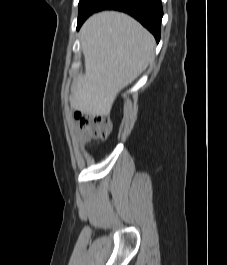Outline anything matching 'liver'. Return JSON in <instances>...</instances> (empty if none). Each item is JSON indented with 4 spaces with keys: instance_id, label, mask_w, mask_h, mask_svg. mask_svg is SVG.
Here are the masks:
<instances>
[{
    "instance_id": "liver-1",
    "label": "liver",
    "mask_w": 227,
    "mask_h": 265,
    "mask_svg": "<svg viewBox=\"0 0 227 265\" xmlns=\"http://www.w3.org/2000/svg\"><path fill=\"white\" fill-rule=\"evenodd\" d=\"M80 34L85 74L73 83L70 105L84 114L106 116L118 93L152 62L155 39L135 19L115 11L91 16Z\"/></svg>"
}]
</instances>
